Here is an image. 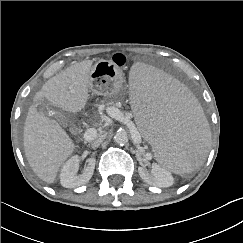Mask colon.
Returning a JSON list of instances; mask_svg holds the SVG:
<instances>
[{
    "mask_svg": "<svg viewBox=\"0 0 243 243\" xmlns=\"http://www.w3.org/2000/svg\"><path fill=\"white\" fill-rule=\"evenodd\" d=\"M112 62L116 66L122 67L126 63V57L123 54H121V53H117V54L113 55Z\"/></svg>",
    "mask_w": 243,
    "mask_h": 243,
    "instance_id": "colon-1",
    "label": "colon"
}]
</instances>
